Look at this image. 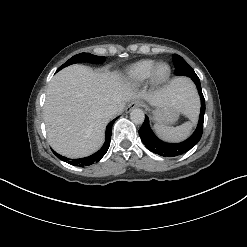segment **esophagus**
I'll return each instance as SVG.
<instances>
[{
	"label": "esophagus",
	"mask_w": 247,
	"mask_h": 247,
	"mask_svg": "<svg viewBox=\"0 0 247 247\" xmlns=\"http://www.w3.org/2000/svg\"><path fill=\"white\" fill-rule=\"evenodd\" d=\"M142 106V102L139 100L132 101L126 108V112H130L132 109Z\"/></svg>",
	"instance_id": "1"
}]
</instances>
